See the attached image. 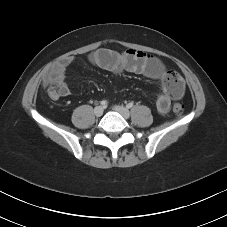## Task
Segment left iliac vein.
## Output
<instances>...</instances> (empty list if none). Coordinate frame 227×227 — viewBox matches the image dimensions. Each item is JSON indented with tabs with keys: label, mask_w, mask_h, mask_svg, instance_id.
Returning <instances> with one entry per match:
<instances>
[{
	"label": "left iliac vein",
	"mask_w": 227,
	"mask_h": 227,
	"mask_svg": "<svg viewBox=\"0 0 227 227\" xmlns=\"http://www.w3.org/2000/svg\"><path fill=\"white\" fill-rule=\"evenodd\" d=\"M113 110L118 112L125 119H128L130 117L129 110L123 106L116 105L113 107Z\"/></svg>",
	"instance_id": "4c4485c4"
}]
</instances>
